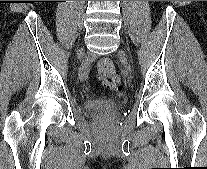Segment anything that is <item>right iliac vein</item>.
<instances>
[{"label": "right iliac vein", "instance_id": "1", "mask_svg": "<svg viewBox=\"0 0 207 169\" xmlns=\"http://www.w3.org/2000/svg\"><path fill=\"white\" fill-rule=\"evenodd\" d=\"M82 53H83V50L80 49L79 52H78V56H80ZM86 75H87V72L85 70L84 71H81V73H80V79L84 80L86 78Z\"/></svg>", "mask_w": 207, "mask_h": 169}]
</instances>
